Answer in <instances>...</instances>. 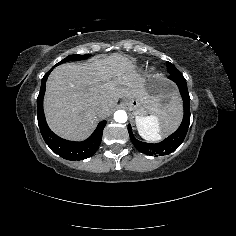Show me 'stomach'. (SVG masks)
<instances>
[{"instance_id": "stomach-1", "label": "stomach", "mask_w": 236, "mask_h": 236, "mask_svg": "<svg viewBox=\"0 0 236 236\" xmlns=\"http://www.w3.org/2000/svg\"><path fill=\"white\" fill-rule=\"evenodd\" d=\"M143 90L145 96L161 110L167 109L178 95L175 86L161 75L147 76L143 82ZM122 106L133 111L136 116H145L148 113L143 103L136 98L125 97Z\"/></svg>"}]
</instances>
